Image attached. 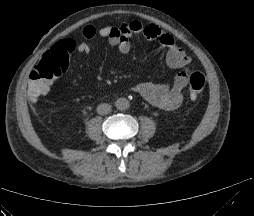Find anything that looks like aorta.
I'll list each match as a JSON object with an SVG mask.
<instances>
[{"label": "aorta", "mask_w": 254, "mask_h": 216, "mask_svg": "<svg viewBox=\"0 0 254 216\" xmlns=\"http://www.w3.org/2000/svg\"><path fill=\"white\" fill-rule=\"evenodd\" d=\"M115 107L120 111L127 110L130 107L129 100L126 98H118L115 101Z\"/></svg>", "instance_id": "aorta-1"}]
</instances>
